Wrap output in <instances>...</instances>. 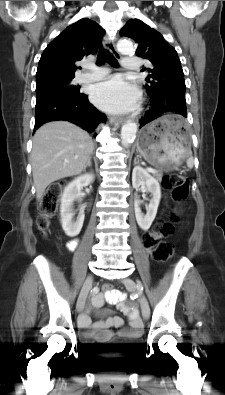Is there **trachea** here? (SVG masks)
Returning a JSON list of instances; mask_svg holds the SVG:
<instances>
[{
	"label": "trachea",
	"mask_w": 225,
	"mask_h": 395,
	"mask_svg": "<svg viewBox=\"0 0 225 395\" xmlns=\"http://www.w3.org/2000/svg\"><path fill=\"white\" fill-rule=\"evenodd\" d=\"M105 62H108L113 67H118L116 58L104 48H100L97 55V65H103Z\"/></svg>",
	"instance_id": "trachea-1"
}]
</instances>
